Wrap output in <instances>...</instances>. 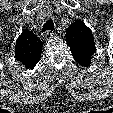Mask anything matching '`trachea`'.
I'll return each mask as SVG.
<instances>
[{
  "label": "trachea",
  "mask_w": 113,
  "mask_h": 113,
  "mask_svg": "<svg viewBox=\"0 0 113 113\" xmlns=\"http://www.w3.org/2000/svg\"><path fill=\"white\" fill-rule=\"evenodd\" d=\"M54 29V23L52 20H48L42 27V33L46 31H53Z\"/></svg>",
  "instance_id": "3493384b"
}]
</instances>
